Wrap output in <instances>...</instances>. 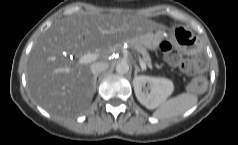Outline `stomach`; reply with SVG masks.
Instances as JSON below:
<instances>
[{
  "label": "stomach",
  "mask_w": 238,
  "mask_h": 145,
  "mask_svg": "<svg viewBox=\"0 0 238 145\" xmlns=\"http://www.w3.org/2000/svg\"><path fill=\"white\" fill-rule=\"evenodd\" d=\"M170 38L179 48L186 51H196L201 48L200 37L186 25H175L170 31Z\"/></svg>",
  "instance_id": "0dacf381"
}]
</instances>
